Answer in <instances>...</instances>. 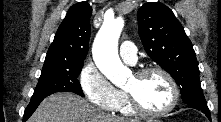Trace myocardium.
<instances>
[{
  "label": "myocardium",
  "instance_id": "f54148a6",
  "mask_svg": "<svg viewBox=\"0 0 221 122\" xmlns=\"http://www.w3.org/2000/svg\"><path fill=\"white\" fill-rule=\"evenodd\" d=\"M151 73H158L160 75H162L167 83L169 84L170 90H171V100L170 103L168 104V106H166L164 109L158 110V111H152L149 110L147 108H145L137 99V97L135 96V94L130 91L125 89V94L126 97L131 105V107L133 108V110L143 116H148V117H161L164 115H167L168 113H170L171 111H173L175 109V107L177 106L178 100H179V90H178V86L174 80V78L171 76V74L169 72H167L165 69L161 68V67H157V66H150V67H145L142 68L138 71L135 72L134 76L137 79H141L144 76L151 74Z\"/></svg>",
  "mask_w": 221,
  "mask_h": 122
}]
</instances>
